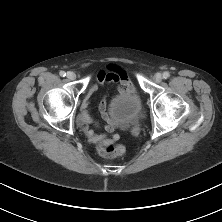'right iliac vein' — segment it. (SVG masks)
I'll return each mask as SVG.
<instances>
[{
  "instance_id": "obj_1",
  "label": "right iliac vein",
  "mask_w": 222,
  "mask_h": 222,
  "mask_svg": "<svg viewBox=\"0 0 222 222\" xmlns=\"http://www.w3.org/2000/svg\"><path fill=\"white\" fill-rule=\"evenodd\" d=\"M67 78H68L69 80H74V79L76 78V74H75L74 72H72V71H69V72L67 73Z\"/></svg>"
}]
</instances>
